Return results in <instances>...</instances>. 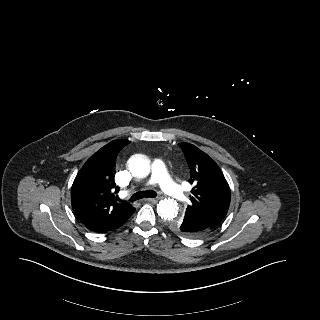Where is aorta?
I'll return each instance as SVG.
<instances>
[{
  "instance_id": "aorta-1",
  "label": "aorta",
  "mask_w": 320,
  "mask_h": 320,
  "mask_svg": "<svg viewBox=\"0 0 320 320\" xmlns=\"http://www.w3.org/2000/svg\"><path fill=\"white\" fill-rule=\"evenodd\" d=\"M129 171L134 177L145 178L150 173V161L142 154L131 156L127 162ZM178 203L171 198L161 200L157 205L158 215L166 220L174 222L178 214Z\"/></svg>"
}]
</instances>
